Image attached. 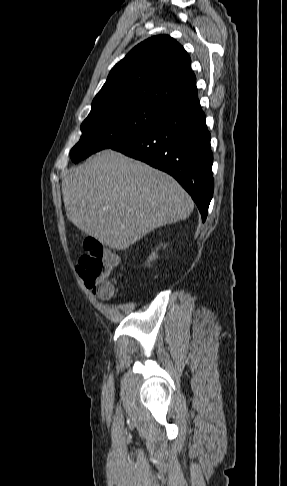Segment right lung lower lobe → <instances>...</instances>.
Wrapping results in <instances>:
<instances>
[{
	"instance_id": "obj_1",
	"label": "right lung lower lobe",
	"mask_w": 287,
	"mask_h": 486,
	"mask_svg": "<svg viewBox=\"0 0 287 486\" xmlns=\"http://www.w3.org/2000/svg\"><path fill=\"white\" fill-rule=\"evenodd\" d=\"M210 139L197 97L112 149L173 176L191 195L204 222L214 190Z\"/></svg>"
}]
</instances>
